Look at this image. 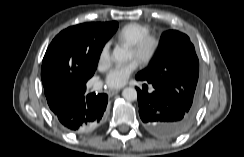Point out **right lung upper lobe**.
Returning <instances> with one entry per match:
<instances>
[{
	"instance_id": "1",
	"label": "right lung upper lobe",
	"mask_w": 244,
	"mask_h": 157,
	"mask_svg": "<svg viewBox=\"0 0 244 157\" xmlns=\"http://www.w3.org/2000/svg\"><path fill=\"white\" fill-rule=\"evenodd\" d=\"M116 22H106V23H85L90 28L99 31L101 33H109L112 31ZM89 49L86 51V56L83 58L78 57L76 65L74 66L73 70L71 71V80L68 81V84L64 83H51L46 79H42L45 94H51L57 90H61L65 86L75 85L78 87L86 85L87 80L90 78L87 72V57L89 56L88 53Z\"/></svg>"
}]
</instances>
